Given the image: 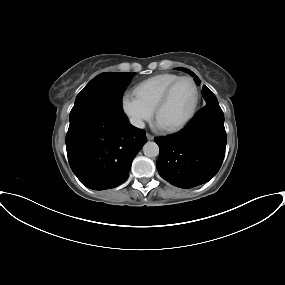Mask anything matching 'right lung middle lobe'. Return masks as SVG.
<instances>
[{"label":"right lung middle lobe","mask_w":285,"mask_h":285,"mask_svg":"<svg viewBox=\"0 0 285 285\" xmlns=\"http://www.w3.org/2000/svg\"><path fill=\"white\" fill-rule=\"evenodd\" d=\"M134 75V72H107L97 75L77 95L69 120L93 109L124 114L122 95Z\"/></svg>","instance_id":"dd1d6c3e"}]
</instances>
